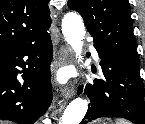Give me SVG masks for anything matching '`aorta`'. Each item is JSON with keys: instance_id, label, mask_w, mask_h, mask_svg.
<instances>
[{"instance_id": "obj_1", "label": "aorta", "mask_w": 145, "mask_h": 124, "mask_svg": "<svg viewBox=\"0 0 145 124\" xmlns=\"http://www.w3.org/2000/svg\"><path fill=\"white\" fill-rule=\"evenodd\" d=\"M62 33L75 52L78 62H83L81 53L85 37V27L82 17L75 12L67 13L62 19ZM87 109L88 103L86 100L82 98L74 99L66 107L61 124H79L84 118Z\"/></svg>"}]
</instances>
